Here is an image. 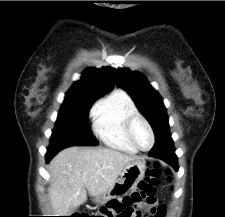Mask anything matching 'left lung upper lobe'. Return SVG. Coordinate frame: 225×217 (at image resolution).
<instances>
[{
  "mask_svg": "<svg viewBox=\"0 0 225 217\" xmlns=\"http://www.w3.org/2000/svg\"><path fill=\"white\" fill-rule=\"evenodd\" d=\"M116 82L128 92L153 128L155 145L150 152H175L163 101L146 78L138 72L124 68L116 71Z\"/></svg>",
  "mask_w": 225,
  "mask_h": 217,
  "instance_id": "5c2ea615",
  "label": "left lung upper lobe"
}]
</instances>
